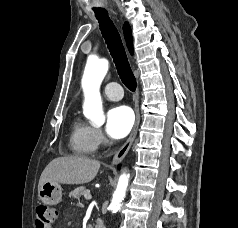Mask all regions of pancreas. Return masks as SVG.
<instances>
[{"instance_id": "obj_1", "label": "pancreas", "mask_w": 238, "mask_h": 228, "mask_svg": "<svg viewBox=\"0 0 238 228\" xmlns=\"http://www.w3.org/2000/svg\"><path fill=\"white\" fill-rule=\"evenodd\" d=\"M89 190L86 189V187L84 186H80L78 188H76L75 190H73L70 193V196L74 197V198H80L81 196L85 195Z\"/></svg>"}]
</instances>
